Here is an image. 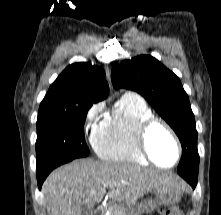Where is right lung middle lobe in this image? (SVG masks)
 I'll use <instances>...</instances> for the list:
<instances>
[{"label":"right lung middle lobe","mask_w":221,"mask_h":215,"mask_svg":"<svg viewBox=\"0 0 221 215\" xmlns=\"http://www.w3.org/2000/svg\"><path fill=\"white\" fill-rule=\"evenodd\" d=\"M92 103L41 104L37 119V170L86 157V114Z\"/></svg>","instance_id":"obj_1"}]
</instances>
